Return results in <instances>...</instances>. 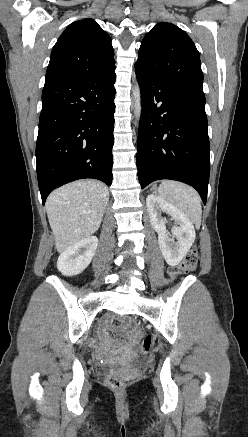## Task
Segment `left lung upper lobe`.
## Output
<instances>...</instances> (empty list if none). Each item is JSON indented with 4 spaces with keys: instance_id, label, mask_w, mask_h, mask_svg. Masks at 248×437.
<instances>
[{
    "instance_id": "obj_1",
    "label": "left lung upper lobe",
    "mask_w": 248,
    "mask_h": 437,
    "mask_svg": "<svg viewBox=\"0 0 248 437\" xmlns=\"http://www.w3.org/2000/svg\"><path fill=\"white\" fill-rule=\"evenodd\" d=\"M135 70L151 78L203 93L200 56L179 27L158 23L142 40Z\"/></svg>"
}]
</instances>
